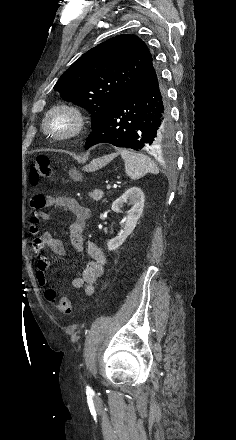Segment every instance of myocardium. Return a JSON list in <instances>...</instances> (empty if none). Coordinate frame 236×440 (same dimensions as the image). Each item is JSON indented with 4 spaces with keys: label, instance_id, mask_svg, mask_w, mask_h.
<instances>
[{
    "label": "myocardium",
    "instance_id": "obj_1",
    "mask_svg": "<svg viewBox=\"0 0 236 440\" xmlns=\"http://www.w3.org/2000/svg\"><path fill=\"white\" fill-rule=\"evenodd\" d=\"M63 122V123H61ZM86 117L80 107L61 102L53 105L42 118V128L53 141L78 138L85 130Z\"/></svg>",
    "mask_w": 236,
    "mask_h": 440
}]
</instances>
